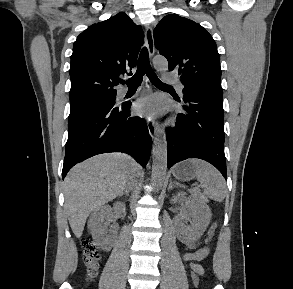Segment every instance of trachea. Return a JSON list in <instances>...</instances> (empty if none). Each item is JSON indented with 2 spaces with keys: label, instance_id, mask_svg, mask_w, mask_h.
Wrapping results in <instances>:
<instances>
[{
  "label": "trachea",
  "instance_id": "3493384b",
  "mask_svg": "<svg viewBox=\"0 0 293 289\" xmlns=\"http://www.w3.org/2000/svg\"><path fill=\"white\" fill-rule=\"evenodd\" d=\"M147 75V77L150 79L151 83L155 86H168V84H165L160 81V79L157 77V75L154 73L150 66L149 62V55H148V50L146 47H144L141 50V53L139 55V60H138V68L134 76L126 81V84L129 87H134L138 86L142 82L143 75ZM121 83H124V80L120 81Z\"/></svg>",
  "mask_w": 293,
  "mask_h": 289
}]
</instances>
